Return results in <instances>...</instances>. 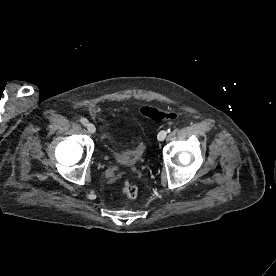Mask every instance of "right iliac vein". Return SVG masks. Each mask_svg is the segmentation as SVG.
Listing matches in <instances>:
<instances>
[{
  "label": "right iliac vein",
  "mask_w": 276,
  "mask_h": 276,
  "mask_svg": "<svg viewBox=\"0 0 276 276\" xmlns=\"http://www.w3.org/2000/svg\"><path fill=\"white\" fill-rule=\"evenodd\" d=\"M87 130H88L90 133H94V132L96 131V128H95L94 124L89 123V124H87Z\"/></svg>",
  "instance_id": "obj_1"
}]
</instances>
